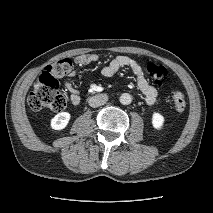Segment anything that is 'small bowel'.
<instances>
[{"label":"small bowel","mask_w":213,"mask_h":213,"mask_svg":"<svg viewBox=\"0 0 213 213\" xmlns=\"http://www.w3.org/2000/svg\"><path fill=\"white\" fill-rule=\"evenodd\" d=\"M99 60V56L97 54H82L75 57L74 62L80 67H84L95 63ZM128 68L132 71V73L136 77L137 86L139 90L145 97V101L148 105H153L158 97L157 89L152 86L147 78L145 77L144 71L139 63L133 58L125 55H120L112 59L108 65H106L101 73L104 77H112L114 76L120 69ZM77 71H71L70 76H75ZM65 87L70 94V100L73 104H78L80 102V94L79 91L72 85L71 82L66 81Z\"/></svg>","instance_id":"c3829d8e"}]
</instances>
